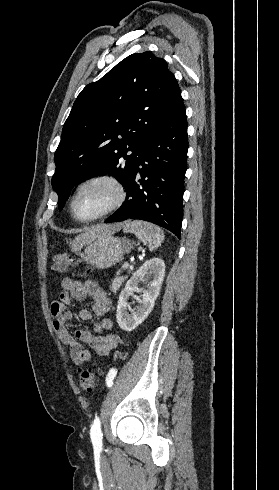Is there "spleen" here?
<instances>
[{"mask_svg": "<svg viewBox=\"0 0 279 490\" xmlns=\"http://www.w3.org/2000/svg\"><path fill=\"white\" fill-rule=\"evenodd\" d=\"M124 232H131V234H136L138 240L141 242H147L150 252L159 248L163 242V232L154 226V224H149V222H140V220H135V222H125Z\"/></svg>", "mask_w": 279, "mask_h": 490, "instance_id": "spleen-1", "label": "spleen"}]
</instances>
